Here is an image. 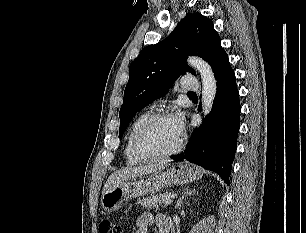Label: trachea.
<instances>
[{"label": "trachea", "instance_id": "obj_1", "mask_svg": "<svg viewBox=\"0 0 306 233\" xmlns=\"http://www.w3.org/2000/svg\"><path fill=\"white\" fill-rule=\"evenodd\" d=\"M189 94H194L195 95L196 93L195 92H189Z\"/></svg>", "mask_w": 306, "mask_h": 233}]
</instances>
